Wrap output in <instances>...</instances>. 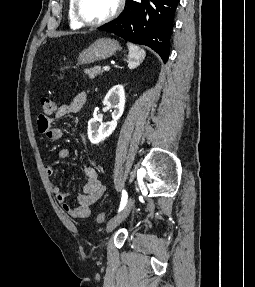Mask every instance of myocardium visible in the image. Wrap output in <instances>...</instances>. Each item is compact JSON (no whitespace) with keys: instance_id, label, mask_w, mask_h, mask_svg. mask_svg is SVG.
I'll use <instances>...</instances> for the list:
<instances>
[{"instance_id":"myocardium-1","label":"myocardium","mask_w":255,"mask_h":287,"mask_svg":"<svg viewBox=\"0 0 255 287\" xmlns=\"http://www.w3.org/2000/svg\"><path fill=\"white\" fill-rule=\"evenodd\" d=\"M90 33H96V32H90ZM107 33H116V32H107ZM91 39H117V38H91ZM115 48H128V47H115ZM139 48H145V47H139Z\"/></svg>"}]
</instances>
